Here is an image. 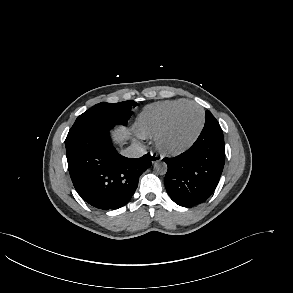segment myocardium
Listing matches in <instances>:
<instances>
[{
	"label": "myocardium",
	"instance_id": "obj_1",
	"mask_svg": "<svg viewBox=\"0 0 293 293\" xmlns=\"http://www.w3.org/2000/svg\"><path fill=\"white\" fill-rule=\"evenodd\" d=\"M196 107L197 109H199L200 113H201V123L200 126L196 132V134L194 135V137L184 146L180 147V148H176V149H171V148H167L163 145L162 140L164 135L166 134V132L168 131V129L170 128L171 124L173 123L175 117L177 116V114L185 107ZM206 124V114H205V110L203 109V107H201L199 104L192 102V101H188L186 103H183L177 107H175L170 114L168 115L166 121L164 122V124L161 126V128L157 131V133L154 135V145L156 150L162 154V155H166V156H178L181 155L185 152H187L188 150H190L195 143L197 142V140L199 139V137L201 136L203 129L205 127Z\"/></svg>",
	"mask_w": 293,
	"mask_h": 293
}]
</instances>
